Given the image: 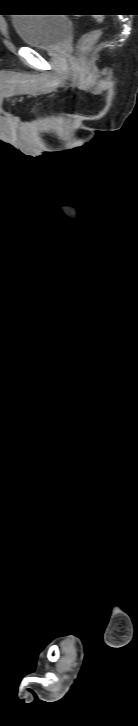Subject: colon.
I'll use <instances>...</instances> for the list:
<instances>
[{"label":"colon","mask_w":138,"mask_h":726,"mask_svg":"<svg viewBox=\"0 0 138 726\" xmlns=\"http://www.w3.org/2000/svg\"><path fill=\"white\" fill-rule=\"evenodd\" d=\"M96 24L101 23V19L97 18L95 20ZM102 34V29L100 27H94L89 29L87 32H85L79 39L77 44V51L78 53H84L91 44H93Z\"/></svg>","instance_id":"5ec220e1"}]
</instances>
